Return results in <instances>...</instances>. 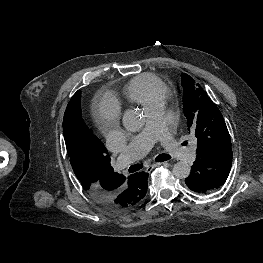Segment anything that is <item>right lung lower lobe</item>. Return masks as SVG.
<instances>
[{
	"mask_svg": "<svg viewBox=\"0 0 263 263\" xmlns=\"http://www.w3.org/2000/svg\"><path fill=\"white\" fill-rule=\"evenodd\" d=\"M147 179L148 173L140 172L133 174L131 176V182L135 185H141L146 188L147 191ZM121 182L117 183L114 187H116V191L107 195H91L92 198L103 208L111 211V212H119L121 208L127 205L129 201V195L127 194V190L121 187Z\"/></svg>",
	"mask_w": 263,
	"mask_h": 263,
	"instance_id": "obj_1",
	"label": "right lung lower lobe"
}]
</instances>
